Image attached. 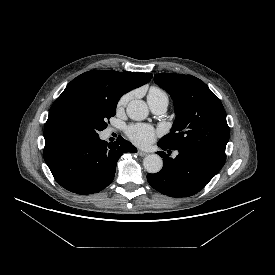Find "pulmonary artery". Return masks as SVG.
Here are the masks:
<instances>
[{"label":"pulmonary artery","mask_w":275,"mask_h":275,"mask_svg":"<svg viewBox=\"0 0 275 275\" xmlns=\"http://www.w3.org/2000/svg\"><path fill=\"white\" fill-rule=\"evenodd\" d=\"M148 104L153 113L160 115L166 112L168 100L165 98L148 99Z\"/></svg>","instance_id":"pulmonary-artery-1"}]
</instances>
